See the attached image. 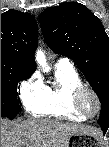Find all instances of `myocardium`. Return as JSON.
Instances as JSON below:
<instances>
[{
    "label": "myocardium",
    "instance_id": "myocardium-1",
    "mask_svg": "<svg viewBox=\"0 0 109 147\" xmlns=\"http://www.w3.org/2000/svg\"><path fill=\"white\" fill-rule=\"evenodd\" d=\"M86 93H90L94 96V98L96 99V102H97V110L94 114H88L83 106H82V98L84 96V94ZM72 105L74 107V109L81 115L87 117V118H92L94 116H96L99 112H100V109H101V100H100V97L99 95L97 94V92L88 87V86H81L79 88H77L73 94V97H72Z\"/></svg>",
    "mask_w": 109,
    "mask_h": 147
}]
</instances>
